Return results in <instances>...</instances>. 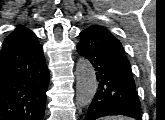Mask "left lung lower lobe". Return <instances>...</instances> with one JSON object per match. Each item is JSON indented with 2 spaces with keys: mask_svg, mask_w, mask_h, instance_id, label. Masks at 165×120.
Masks as SVG:
<instances>
[{
  "mask_svg": "<svg viewBox=\"0 0 165 120\" xmlns=\"http://www.w3.org/2000/svg\"><path fill=\"white\" fill-rule=\"evenodd\" d=\"M79 36L77 50L90 60L98 81L84 120L119 114L141 120L131 66L120 41L106 28L96 25L81 31Z\"/></svg>",
  "mask_w": 165,
  "mask_h": 120,
  "instance_id": "0a47b994",
  "label": "left lung lower lobe"
}]
</instances>
